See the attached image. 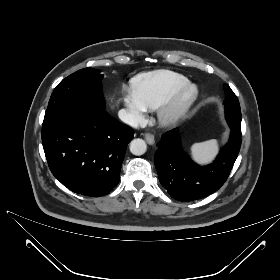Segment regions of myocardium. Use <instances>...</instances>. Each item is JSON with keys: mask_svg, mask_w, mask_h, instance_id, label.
I'll use <instances>...</instances> for the list:
<instances>
[{"mask_svg": "<svg viewBox=\"0 0 280 280\" xmlns=\"http://www.w3.org/2000/svg\"><path fill=\"white\" fill-rule=\"evenodd\" d=\"M199 96L198 86L186 83L179 87L157 109L159 124L165 127L175 125L191 110Z\"/></svg>", "mask_w": 280, "mask_h": 280, "instance_id": "myocardium-1", "label": "myocardium"}]
</instances>
